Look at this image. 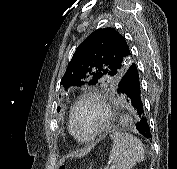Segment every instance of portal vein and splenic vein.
<instances>
[{
    "instance_id": "1",
    "label": "portal vein and splenic vein",
    "mask_w": 177,
    "mask_h": 169,
    "mask_svg": "<svg viewBox=\"0 0 177 169\" xmlns=\"http://www.w3.org/2000/svg\"><path fill=\"white\" fill-rule=\"evenodd\" d=\"M114 168H115L114 165L108 163V165L104 169H114Z\"/></svg>"
}]
</instances>
